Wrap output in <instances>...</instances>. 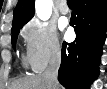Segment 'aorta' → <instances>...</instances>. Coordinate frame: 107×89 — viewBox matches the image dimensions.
Instances as JSON below:
<instances>
[{"label": "aorta", "instance_id": "1", "mask_svg": "<svg viewBox=\"0 0 107 89\" xmlns=\"http://www.w3.org/2000/svg\"><path fill=\"white\" fill-rule=\"evenodd\" d=\"M53 2L52 0H36L35 1V12L37 17L46 21L51 17Z\"/></svg>", "mask_w": 107, "mask_h": 89}]
</instances>
